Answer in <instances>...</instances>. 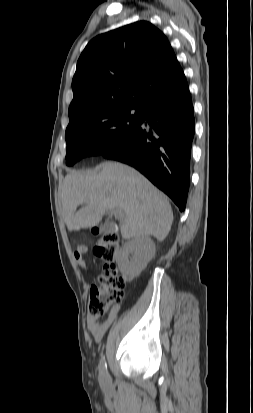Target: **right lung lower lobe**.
<instances>
[{
	"label": "right lung lower lobe",
	"mask_w": 253,
	"mask_h": 413,
	"mask_svg": "<svg viewBox=\"0 0 253 413\" xmlns=\"http://www.w3.org/2000/svg\"><path fill=\"white\" fill-rule=\"evenodd\" d=\"M194 131V110L188 90L180 98L148 104L142 109L140 126L101 155L139 170L184 211Z\"/></svg>",
	"instance_id": "right-lung-lower-lobe-1"
}]
</instances>
